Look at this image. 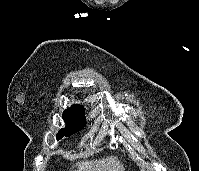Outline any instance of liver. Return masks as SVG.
I'll list each match as a JSON object with an SVG mask.
<instances>
[{
  "label": "liver",
  "mask_w": 199,
  "mask_h": 171,
  "mask_svg": "<svg viewBox=\"0 0 199 171\" xmlns=\"http://www.w3.org/2000/svg\"><path fill=\"white\" fill-rule=\"evenodd\" d=\"M77 171H124V166L117 157H107L106 159L96 161L78 162Z\"/></svg>",
  "instance_id": "6515ba94"
}]
</instances>
